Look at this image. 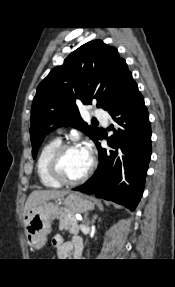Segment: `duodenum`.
Returning a JSON list of instances; mask_svg holds the SVG:
<instances>
[{"instance_id": "1", "label": "duodenum", "mask_w": 175, "mask_h": 287, "mask_svg": "<svg viewBox=\"0 0 175 287\" xmlns=\"http://www.w3.org/2000/svg\"><path fill=\"white\" fill-rule=\"evenodd\" d=\"M80 256H81V252L78 255H76L75 257H80Z\"/></svg>"}]
</instances>
